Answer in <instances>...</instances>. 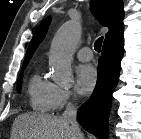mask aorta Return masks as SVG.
<instances>
[{
  "label": "aorta",
  "mask_w": 141,
  "mask_h": 139,
  "mask_svg": "<svg viewBox=\"0 0 141 139\" xmlns=\"http://www.w3.org/2000/svg\"><path fill=\"white\" fill-rule=\"evenodd\" d=\"M80 36V26L75 21H68L58 29L52 40L49 66L57 83L68 84L73 80L71 60Z\"/></svg>",
  "instance_id": "obj_1"
}]
</instances>
